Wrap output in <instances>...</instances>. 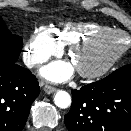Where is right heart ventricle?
Masks as SVG:
<instances>
[{"label":"right heart ventricle","mask_w":131,"mask_h":131,"mask_svg":"<svg viewBox=\"0 0 131 131\" xmlns=\"http://www.w3.org/2000/svg\"><path fill=\"white\" fill-rule=\"evenodd\" d=\"M112 29L106 25L96 22H61L51 30L55 40L61 45H71L72 43L84 39L100 31Z\"/></svg>","instance_id":"right-heart-ventricle-1"}]
</instances>
